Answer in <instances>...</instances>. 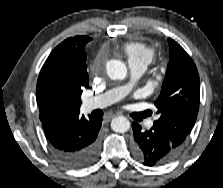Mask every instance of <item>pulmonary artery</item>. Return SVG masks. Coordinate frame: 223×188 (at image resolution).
<instances>
[{
  "mask_svg": "<svg viewBox=\"0 0 223 188\" xmlns=\"http://www.w3.org/2000/svg\"><path fill=\"white\" fill-rule=\"evenodd\" d=\"M129 69L131 73V80L129 83L124 86L109 90L103 94L85 99L83 102L84 108L87 111L104 108L127 94L136 84V81L139 79V77L146 70V65L137 62H129ZM152 125L153 121L147 123L148 127H152Z\"/></svg>",
  "mask_w": 223,
  "mask_h": 188,
  "instance_id": "e3ab8cb5",
  "label": "pulmonary artery"
}]
</instances>
